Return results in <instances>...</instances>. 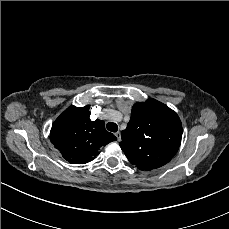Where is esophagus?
<instances>
[{"label": "esophagus", "mask_w": 229, "mask_h": 229, "mask_svg": "<svg viewBox=\"0 0 229 229\" xmlns=\"http://www.w3.org/2000/svg\"><path fill=\"white\" fill-rule=\"evenodd\" d=\"M115 136H116V138H117L118 141L121 140V133H120V131H117V132L115 133Z\"/></svg>", "instance_id": "obj_1"}]
</instances>
